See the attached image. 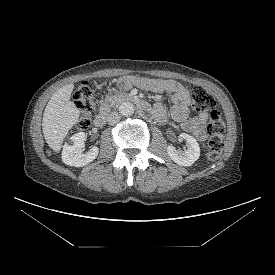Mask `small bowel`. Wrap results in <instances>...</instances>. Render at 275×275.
<instances>
[{"mask_svg":"<svg viewBox=\"0 0 275 275\" xmlns=\"http://www.w3.org/2000/svg\"><path fill=\"white\" fill-rule=\"evenodd\" d=\"M118 86L121 89L137 86L153 92L172 93L173 107L170 112V118L175 124L180 125L184 131L191 133L196 140L201 142L205 139L204 129L208 115L201 111L193 117L189 116L190 94L179 82L174 80L123 76L119 79ZM153 116L160 123H166L169 119V115L162 103H156L154 105Z\"/></svg>","mask_w":275,"mask_h":275,"instance_id":"1","label":"small bowel"}]
</instances>
